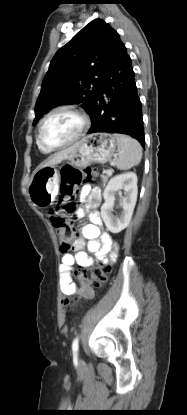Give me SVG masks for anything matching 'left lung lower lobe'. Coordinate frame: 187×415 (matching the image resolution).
I'll return each mask as SVG.
<instances>
[{
    "label": "left lung lower lobe",
    "mask_w": 187,
    "mask_h": 415,
    "mask_svg": "<svg viewBox=\"0 0 187 415\" xmlns=\"http://www.w3.org/2000/svg\"><path fill=\"white\" fill-rule=\"evenodd\" d=\"M89 134L109 132L130 135L145 147L142 107L131 58L118 36L103 70Z\"/></svg>",
    "instance_id": "1"
}]
</instances>
